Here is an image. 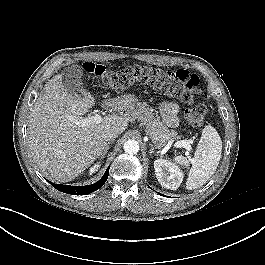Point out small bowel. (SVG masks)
Returning a JSON list of instances; mask_svg holds the SVG:
<instances>
[{
    "label": "small bowel",
    "mask_w": 265,
    "mask_h": 265,
    "mask_svg": "<svg viewBox=\"0 0 265 265\" xmlns=\"http://www.w3.org/2000/svg\"><path fill=\"white\" fill-rule=\"evenodd\" d=\"M161 115L163 122L168 127H176L179 123L178 105L174 102H164L161 106Z\"/></svg>",
    "instance_id": "small-bowel-1"
}]
</instances>
